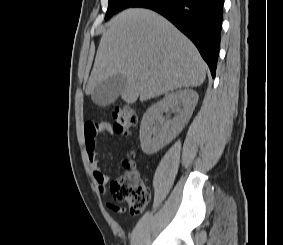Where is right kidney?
I'll return each instance as SVG.
<instances>
[{"instance_id":"ca27d5eb","label":"right kidney","mask_w":283,"mask_h":245,"mask_svg":"<svg viewBox=\"0 0 283 245\" xmlns=\"http://www.w3.org/2000/svg\"><path fill=\"white\" fill-rule=\"evenodd\" d=\"M198 102L192 89H180L152 104L145 112L140 125L142 151L151 155L169 144L185 127ZM172 111V120H164L163 112Z\"/></svg>"}]
</instances>
